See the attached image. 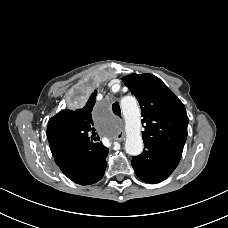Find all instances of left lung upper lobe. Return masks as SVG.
<instances>
[{
  "label": "left lung upper lobe",
  "instance_id": "1",
  "mask_svg": "<svg viewBox=\"0 0 228 228\" xmlns=\"http://www.w3.org/2000/svg\"><path fill=\"white\" fill-rule=\"evenodd\" d=\"M122 81L141 107L144 145H159L183 150L189 122L179 98L152 74H130Z\"/></svg>",
  "mask_w": 228,
  "mask_h": 228
}]
</instances>
